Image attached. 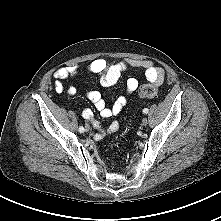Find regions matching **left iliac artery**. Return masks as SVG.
Here are the masks:
<instances>
[{
    "label": "left iliac artery",
    "instance_id": "1",
    "mask_svg": "<svg viewBox=\"0 0 221 221\" xmlns=\"http://www.w3.org/2000/svg\"><path fill=\"white\" fill-rule=\"evenodd\" d=\"M143 113H144V114H147V113H148V109H147V108H144V109H143Z\"/></svg>",
    "mask_w": 221,
    "mask_h": 221
}]
</instances>
